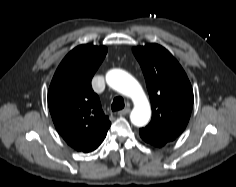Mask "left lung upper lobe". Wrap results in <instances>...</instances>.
I'll return each instance as SVG.
<instances>
[{"mask_svg": "<svg viewBox=\"0 0 236 187\" xmlns=\"http://www.w3.org/2000/svg\"><path fill=\"white\" fill-rule=\"evenodd\" d=\"M133 53L142 68L152 106L151 122L139 130L140 136L162 147L186 128L193 90L181 65L164 47L148 44L134 47Z\"/></svg>", "mask_w": 236, "mask_h": 187, "instance_id": "5c2ea615", "label": "left lung upper lobe"}]
</instances>
